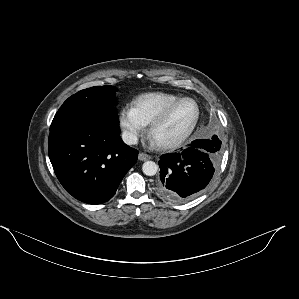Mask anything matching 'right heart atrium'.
I'll return each instance as SVG.
<instances>
[{"label": "right heart atrium", "mask_w": 299, "mask_h": 299, "mask_svg": "<svg viewBox=\"0 0 299 299\" xmlns=\"http://www.w3.org/2000/svg\"><path fill=\"white\" fill-rule=\"evenodd\" d=\"M118 122L125 140L130 144H135L146 128V125L136 115L132 106H126L120 110Z\"/></svg>", "instance_id": "d8ad5b80"}]
</instances>
